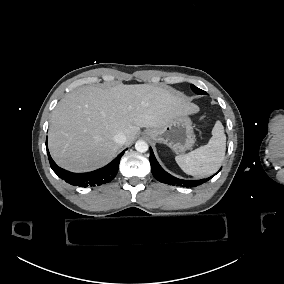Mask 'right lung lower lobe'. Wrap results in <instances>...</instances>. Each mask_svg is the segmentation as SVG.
<instances>
[{
	"label": "right lung lower lobe",
	"instance_id": "obj_1",
	"mask_svg": "<svg viewBox=\"0 0 284 284\" xmlns=\"http://www.w3.org/2000/svg\"><path fill=\"white\" fill-rule=\"evenodd\" d=\"M46 149L52 170L67 183L79 187L100 186L112 181L118 172L120 159L125 152L124 150L112 162L98 170L88 173H73L66 171L56 165L49 154L47 142Z\"/></svg>",
	"mask_w": 284,
	"mask_h": 284
}]
</instances>
